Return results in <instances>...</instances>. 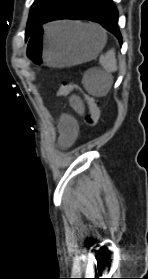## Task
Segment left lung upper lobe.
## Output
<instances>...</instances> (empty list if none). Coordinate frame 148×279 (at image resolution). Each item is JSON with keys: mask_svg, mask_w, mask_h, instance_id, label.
Masks as SVG:
<instances>
[{"mask_svg": "<svg viewBox=\"0 0 148 279\" xmlns=\"http://www.w3.org/2000/svg\"><path fill=\"white\" fill-rule=\"evenodd\" d=\"M65 0H35L29 14L26 37L30 36L42 21L48 18Z\"/></svg>", "mask_w": 148, "mask_h": 279, "instance_id": "obj_1", "label": "left lung upper lobe"}]
</instances>
